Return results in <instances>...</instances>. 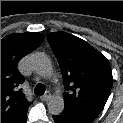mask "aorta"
Instances as JSON below:
<instances>
[{
    "mask_svg": "<svg viewBox=\"0 0 123 123\" xmlns=\"http://www.w3.org/2000/svg\"><path fill=\"white\" fill-rule=\"evenodd\" d=\"M33 70L42 77L52 74L53 68L49 57L44 53H35L31 59ZM48 110L53 115H59L64 110V99L60 95L52 96L48 101Z\"/></svg>",
    "mask_w": 123,
    "mask_h": 123,
    "instance_id": "1",
    "label": "aorta"
}]
</instances>
